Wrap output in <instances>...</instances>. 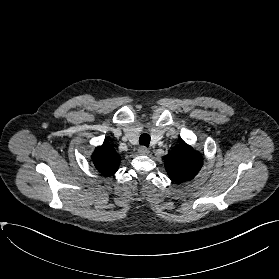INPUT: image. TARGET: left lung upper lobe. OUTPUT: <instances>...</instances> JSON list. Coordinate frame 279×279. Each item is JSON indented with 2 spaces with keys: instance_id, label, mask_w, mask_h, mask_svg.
<instances>
[{
  "instance_id": "left-lung-upper-lobe-1",
  "label": "left lung upper lobe",
  "mask_w": 279,
  "mask_h": 279,
  "mask_svg": "<svg viewBox=\"0 0 279 279\" xmlns=\"http://www.w3.org/2000/svg\"><path fill=\"white\" fill-rule=\"evenodd\" d=\"M202 163L201 154L185 143L178 144L164 160L170 179L177 183L193 179L202 167Z\"/></svg>"
}]
</instances>
